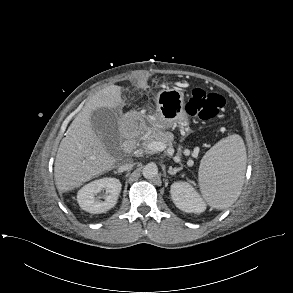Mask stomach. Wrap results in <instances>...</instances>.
I'll use <instances>...</instances> for the list:
<instances>
[{"label": "stomach", "mask_w": 293, "mask_h": 293, "mask_svg": "<svg viewBox=\"0 0 293 293\" xmlns=\"http://www.w3.org/2000/svg\"><path fill=\"white\" fill-rule=\"evenodd\" d=\"M156 112L151 123L156 127L167 129L175 124L188 126L184 111V91L181 88H167L158 92L155 98Z\"/></svg>", "instance_id": "1"}]
</instances>
